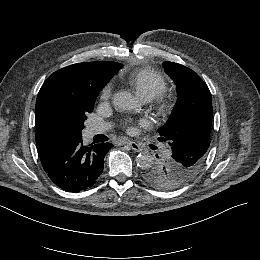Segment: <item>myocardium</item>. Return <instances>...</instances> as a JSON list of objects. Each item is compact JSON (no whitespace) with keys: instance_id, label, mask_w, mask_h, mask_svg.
Returning a JSON list of instances; mask_svg holds the SVG:
<instances>
[{"instance_id":"f54148a6","label":"myocardium","mask_w":260,"mask_h":260,"mask_svg":"<svg viewBox=\"0 0 260 260\" xmlns=\"http://www.w3.org/2000/svg\"><path fill=\"white\" fill-rule=\"evenodd\" d=\"M179 104V97L176 94H162L154 103L156 117L166 118L173 114Z\"/></svg>"}]
</instances>
